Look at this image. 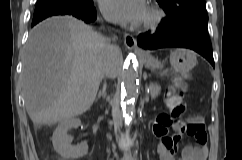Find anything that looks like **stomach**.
I'll use <instances>...</instances> for the list:
<instances>
[{
	"instance_id": "obj_1",
	"label": "stomach",
	"mask_w": 242,
	"mask_h": 160,
	"mask_svg": "<svg viewBox=\"0 0 242 160\" xmlns=\"http://www.w3.org/2000/svg\"><path fill=\"white\" fill-rule=\"evenodd\" d=\"M142 61L146 67L150 69H162L163 65L157 59L150 56L142 57ZM196 55L193 51L178 48L173 51L170 55V63L175 71L186 74L188 73L196 64Z\"/></svg>"
}]
</instances>
